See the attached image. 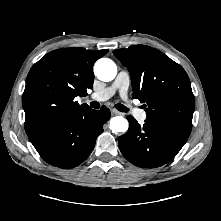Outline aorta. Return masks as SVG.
Wrapping results in <instances>:
<instances>
[{"mask_svg":"<svg viewBox=\"0 0 221 221\" xmlns=\"http://www.w3.org/2000/svg\"><path fill=\"white\" fill-rule=\"evenodd\" d=\"M94 72L101 81L110 82L117 75V67L111 59L101 58L95 63ZM128 127V121L122 116H116L110 120V129L113 133H124Z\"/></svg>","mask_w":221,"mask_h":221,"instance_id":"762f6f07","label":"aorta"}]
</instances>
